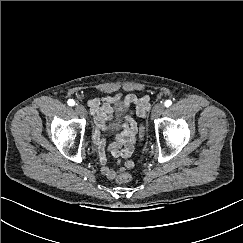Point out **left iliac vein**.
I'll use <instances>...</instances> for the list:
<instances>
[{"mask_svg": "<svg viewBox=\"0 0 243 243\" xmlns=\"http://www.w3.org/2000/svg\"><path fill=\"white\" fill-rule=\"evenodd\" d=\"M165 109V106L163 104H156L152 110L151 117L152 118H157L159 117Z\"/></svg>", "mask_w": 243, "mask_h": 243, "instance_id": "left-iliac-vein-1", "label": "left iliac vein"}]
</instances>
